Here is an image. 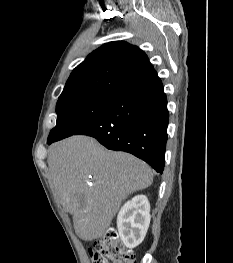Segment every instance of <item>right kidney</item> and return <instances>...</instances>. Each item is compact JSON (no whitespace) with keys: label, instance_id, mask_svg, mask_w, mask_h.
I'll return each mask as SVG.
<instances>
[{"label":"right kidney","instance_id":"ca27d5eb","mask_svg":"<svg viewBox=\"0 0 233 263\" xmlns=\"http://www.w3.org/2000/svg\"><path fill=\"white\" fill-rule=\"evenodd\" d=\"M150 224V204L145 195L127 201L117 216L120 238L127 248L137 247L146 236Z\"/></svg>","mask_w":233,"mask_h":263}]
</instances>
